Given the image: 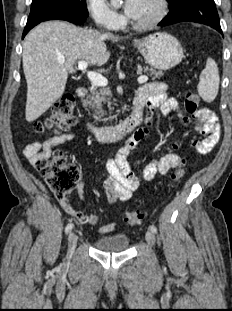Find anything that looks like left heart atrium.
I'll use <instances>...</instances> for the list:
<instances>
[{
    "instance_id": "obj_1",
    "label": "left heart atrium",
    "mask_w": 232,
    "mask_h": 311,
    "mask_svg": "<svg viewBox=\"0 0 232 311\" xmlns=\"http://www.w3.org/2000/svg\"><path fill=\"white\" fill-rule=\"evenodd\" d=\"M142 2L143 0H125L124 11L126 15L130 18L135 17L142 6Z\"/></svg>"
}]
</instances>
